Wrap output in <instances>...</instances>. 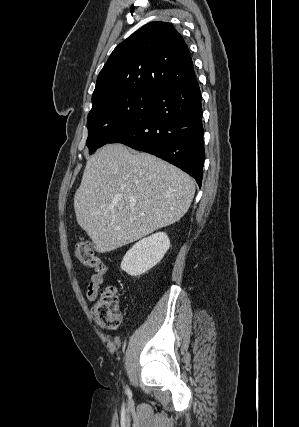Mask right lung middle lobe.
I'll use <instances>...</instances> for the list:
<instances>
[{
  "mask_svg": "<svg viewBox=\"0 0 299 427\" xmlns=\"http://www.w3.org/2000/svg\"><path fill=\"white\" fill-rule=\"evenodd\" d=\"M154 96L123 92L107 96L95 103L88 114L89 153L107 144L130 127L143 114Z\"/></svg>",
  "mask_w": 299,
  "mask_h": 427,
  "instance_id": "1",
  "label": "right lung middle lobe"
}]
</instances>
